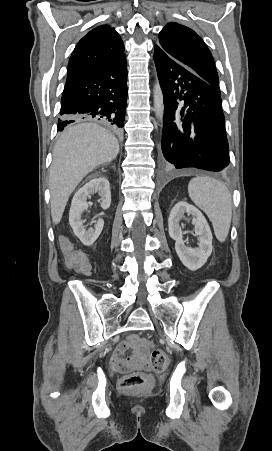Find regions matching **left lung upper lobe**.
<instances>
[{"label":"left lung upper lobe","instance_id":"1","mask_svg":"<svg viewBox=\"0 0 272 451\" xmlns=\"http://www.w3.org/2000/svg\"><path fill=\"white\" fill-rule=\"evenodd\" d=\"M158 45L220 93L213 57L192 29L175 22L168 23L159 33Z\"/></svg>","mask_w":272,"mask_h":451}]
</instances>
